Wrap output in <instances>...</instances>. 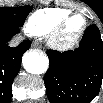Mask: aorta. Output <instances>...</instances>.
I'll use <instances>...</instances> for the list:
<instances>
[{"label": "aorta", "mask_w": 103, "mask_h": 103, "mask_svg": "<svg viewBox=\"0 0 103 103\" xmlns=\"http://www.w3.org/2000/svg\"><path fill=\"white\" fill-rule=\"evenodd\" d=\"M25 70L31 74H42L47 71L49 60L38 52H27L22 58Z\"/></svg>", "instance_id": "762f6f07"}]
</instances>
